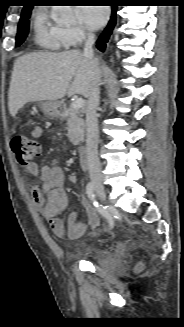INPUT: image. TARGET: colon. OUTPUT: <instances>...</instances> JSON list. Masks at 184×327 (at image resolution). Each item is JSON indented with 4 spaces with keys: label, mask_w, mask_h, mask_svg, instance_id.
Listing matches in <instances>:
<instances>
[{
    "label": "colon",
    "mask_w": 184,
    "mask_h": 327,
    "mask_svg": "<svg viewBox=\"0 0 184 327\" xmlns=\"http://www.w3.org/2000/svg\"><path fill=\"white\" fill-rule=\"evenodd\" d=\"M11 147L21 165L27 166L41 153V145L38 140L24 134H16L11 140ZM89 224L97 227L100 219L97 213L89 206H86Z\"/></svg>",
    "instance_id": "colon-1"
}]
</instances>
